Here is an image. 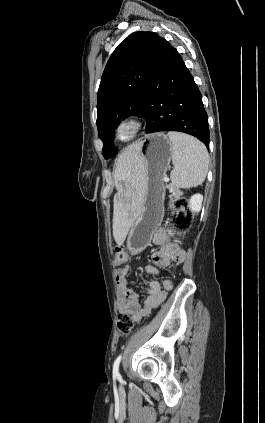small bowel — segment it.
Wrapping results in <instances>:
<instances>
[{
	"label": "small bowel",
	"mask_w": 265,
	"mask_h": 423,
	"mask_svg": "<svg viewBox=\"0 0 265 423\" xmlns=\"http://www.w3.org/2000/svg\"><path fill=\"white\" fill-rule=\"evenodd\" d=\"M152 241L159 250L151 256L153 265L146 267L148 274H158L160 269L168 267L171 262L182 263L185 260V250L177 242L171 240V234L166 228L157 229ZM126 262L116 272L117 309L120 313H129L135 322H140L164 301L167 291L173 288V280L166 278L162 283L155 280L149 281L147 286L142 287L141 292L145 298L140 304V294L128 287L127 276L130 267Z\"/></svg>",
	"instance_id": "small-bowel-1"
}]
</instances>
